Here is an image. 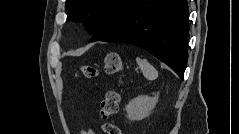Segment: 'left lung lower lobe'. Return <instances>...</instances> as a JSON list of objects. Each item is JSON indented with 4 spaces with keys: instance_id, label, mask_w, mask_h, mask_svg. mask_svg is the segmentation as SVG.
I'll return each mask as SVG.
<instances>
[{
    "instance_id": "1",
    "label": "left lung lower lobe",
    "mask_w": 239,
    "mask_h": 134,
    "mask_svg": "<svg viewBox=\"0 0 239 134\" xmlns=\"http://www.w3.org/2000/svg\"><path fill=\"white\" fill-rule=\"evenodd\" d=\"M188 18L187 0H125L112 22L89 42L138 46L183 79L188 60Z\"/></svg>"
}]
</instances>
